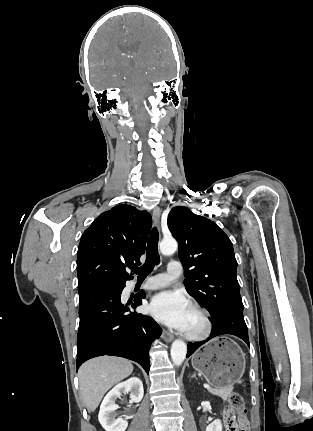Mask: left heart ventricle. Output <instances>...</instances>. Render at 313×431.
<instances>
[{
	"label": "left heart ventricle",
	"mask_w": 313,
	"mask_h": 431,
	"mask_svg": "<svg viewBox=\"0 0 313 431\" xmlns=\"http://www.w3.org/2000/svg\"><path fill=\"white\" fill-rule=\"evenodd\" d=\"M203 322L200 315L193 309L190 310L188 317L187 332H198L202 329Z\"/></svg>",
	"instance_id": "left-heart-ventricle-1"
}]
</instances>
